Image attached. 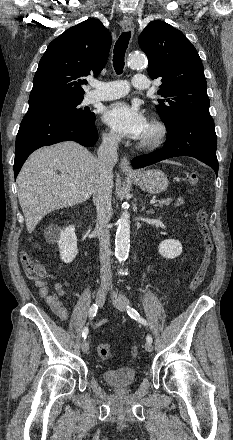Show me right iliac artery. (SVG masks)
I'll return each instance as SVG.
<instances>
[{"instance_id": "82829eb1", "label": "right iliac artery", "mask_w": 233, "mask_h": 440, "mask_svg": "<svg viewBox=\"0 0 233 440\" xmlns=\"http://www.w3.org/2000/svg\"><path fill=\"white\" fill-rule=\"evenodd\" d=\"M97 310H98V305H97V304H93V305L91 306V308H90V311H89V316H90V318H93V317L96 315ZM88 332H89V329H88V327L86 326V327L83 329V332H82V337H83L84 339H86V337H87V335H88Z\"/></svg>"}]
</instances>
